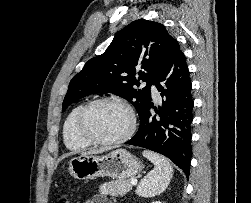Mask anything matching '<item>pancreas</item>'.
Instances as JSON below:
<instances>
[{"instance_id":"1","label":"pancreas","mask_w":251,"mask_h":203,"mask_svg":"<svg viewBox=\"0 0 251 203\" xmlns=\"http://www.w3.org/2000/svg\"><path fill=\"white\" fill-rule=\"evenodd\" d=\"M132 179H119L111 182H106L99 187V192L103 195L116 197L122 196L132 189Z\"/></svg>"}]
</instances>
